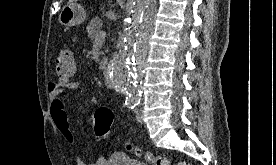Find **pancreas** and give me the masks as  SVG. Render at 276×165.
I'll return each mask as SVG.
<instances>
[{
    "instance_id": "obj_1",
    "label": "pancreas",
    "mask_w": 276,
    "mask_h": 165,
    "mask_svg": "<svg viewBox=\"0 0 276 165\" xmlns=\"http://www.w3.org/2000/svg\"><path fill=\"white\" fill-rule=\"evenodd\" d=\"M103 27V22L100 18L96 17L92 19L88 26H87V32L90 37V39L95 42L97 41V35L101 32V29ZM103 54V53H102ZM107 58H104L103 61L100 62V69H103L106 65Z\"/></svg>"
}]
</instances>
